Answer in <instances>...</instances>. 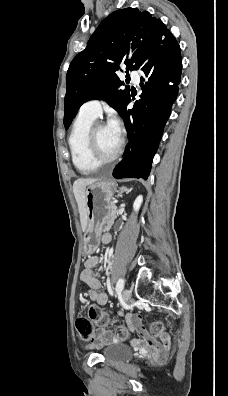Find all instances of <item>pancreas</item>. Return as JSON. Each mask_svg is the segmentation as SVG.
<instances>
[{"label":"pancreas","instance_id":"obj_1","mask_svg":"<svg viewBox=\"0 0 228 396\" xmlns=\"http://www.w3.org/2000/svg\"><path fill=\"white\" fill-rule=\"evenodd\" d=\"M111 208L112 209H110V212H113V215L110 216V219L106 223L105 231H103V234H106V232H108V230L110 229L111 224H113L114 220L116 219V216L114 215V213L116 211V206H115L114 203L111 204Z\"/></svg>","mask_w":228,"mask_h":396}]
</instances>
